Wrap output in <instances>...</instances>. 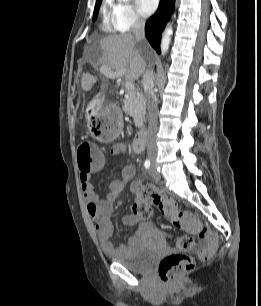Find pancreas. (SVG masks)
Segmentation results:
<instances>
[{"label":"pancreas","instance_id":"obj_1","mask_svg":"<svg viewBox=\"0 0 261 306\" xmlns=\"http://www.w3.org/2000/svg\"><path fill=\"white\" fill-rule=\"evenodd\" d=\"M123 103V111L133 118L137 127H141L146 114V104L143 94L140 91L127 90Z\"/></svg>","mask_w":261,"mask_h":306}]
</instances>
